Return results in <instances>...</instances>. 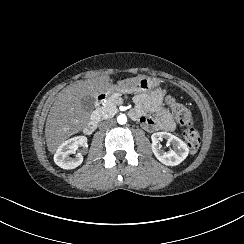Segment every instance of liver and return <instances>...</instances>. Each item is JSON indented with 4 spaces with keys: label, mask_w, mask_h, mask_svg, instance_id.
Instances as JSON below:
<instances>
[{
    "label": "liver",
    "mask_w": 244,
    "mask_h": 244,
    "mask_svg": "<svg viewBox=\"0 0 244 244\" xmlns=\"http://www.w3.org/2000/svg\"><path fill=\"white\" fill-rule=\"evenodd\" d=\"M109 79V75H102L85 81L78 80L57 94L45 125L49 152H54L67 138L83 130L90 121V113L83 110L82 97H96L103 93Z\"/></svg>",
    "instance_id": "liver-1"
}]
</instances>
